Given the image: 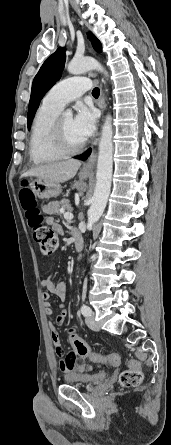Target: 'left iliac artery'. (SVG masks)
I'll list each match as a JSON object with an SVG mask.
<instances>
[{
	"instance_id": "left-iliac-artery-1",
	"label": "left iliac artery",
	"mask_w": 171,
	"mask_h": 445,
	"mask_svg": "<svg viewBox=\"0 0 171 445\" xmlns=\"http://www.w3.org/2000/svg\"><path fill=\"white\" fill-rule=\"evenodd\" d=\"M81 313H82L84 316H89V315L91 314V309H90V307H88L87 305L83 304L82 307H81Z\"/></svg>"
}]
</instances>
